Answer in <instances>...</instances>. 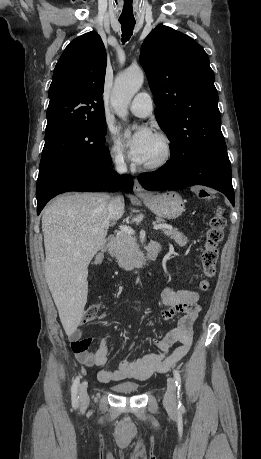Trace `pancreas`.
I'll return each instance as SVG.
<instances>
[{
  "mask_svg": "<svg viewBox=\"0 0 261 459\" xmlns=\"http://www.w3.org/2000/svg\"><path fill=\"white\" fill-rule=\"evenodd\" d=\"M156 222L163 224L165 221L162 218H156ZM163 233L180 246H185L188 243L187 237L175 228L163 229ZM109 251L110 254L116 258L118 265L122 268L134 266L141 258L136 238L132 234L122 231L116 235Z\"/></svg>",
  "mask_w": 261,
  "mask_h": 459,
  "instance_id": "1",
  "label": "pancreas"
}]
</instances>
